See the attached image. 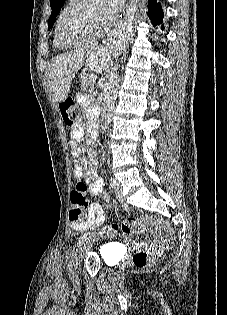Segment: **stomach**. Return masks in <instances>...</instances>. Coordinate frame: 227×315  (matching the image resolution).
Listing matches in <instances>:
<instances>
[{
	"instance_id": "stomach-1",
	"label": "stomach",
	"mask_w": 227,
	"mask_h": 315,
	"mask_svg": "<svg viewBox=\"0 0 227 315\" xmlns=\"http://www.w3.org/2000/svg\"><path fill=\"white\" fill-rule=\"evenodd\" d=\"M94 54H91L87 57L86 63L89 69H97L98 65L94 59ZM87 73H90V70H87ZM87 80H90V77H87Z\"/></svg>"
}]
</instances>
